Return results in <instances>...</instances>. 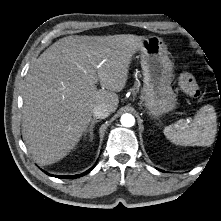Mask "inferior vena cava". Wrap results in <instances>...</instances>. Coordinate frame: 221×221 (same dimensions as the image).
<instances>
[{"mask_svg":"<svg viewBox=\"0 0 221 221\" xmlns=\"http://www.w3.org/2000/svg\"><path fill=\"white\" fill-rule=\"evenodd\" d=\"M110 114L109 109L105 104H99L93 108V116L95 118L104 119Z\"/></svg>","mask_w":221,"mask_h":221,"instance_id":"602c4592","label":"inferior vena cava"}]
</instances>
